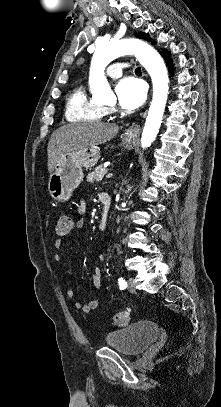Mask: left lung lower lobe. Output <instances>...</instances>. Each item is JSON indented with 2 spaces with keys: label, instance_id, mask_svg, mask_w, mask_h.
Masks as SVG:
<instances>
[{
  "label": "left lung lower lobe",
  "instance_id": "left-lung-lower-lobe-1",
  "mask_svg": "<svg viewBox=\"0 0 221 407\" xmlns=\"http://www.w3.org/2000/svg\"><path fill=\"white\" fill-rule=\"evenodd\" d=\"M161 55H162L163 57H169V56H170V53H169L167 50H164L163 52H161ZM167 64L169 65V68H171V66H173V64H172L171 61H167ZM169 71H170V69H169Z\"/></svg>",
  "mask_w": 221,
  "mask_h": 407
}]
</instances>
